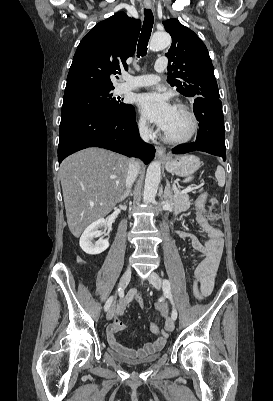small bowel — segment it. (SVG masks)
Here are the masks:
<instances>
[{
    "mask_svg": "<svg viewBox=\"0 0 273 401\" xmlns=\"http://www.w3.org/2000/svg\"><path fill=\"white\" fill-rule=\"evenodd\" d=\"M198 224H201L203 230L206 231L207 236L203 240H198L195 236L191 234H185V237L190 242L191 247L202 255V260L198 264L195 272H200L201 276L204 277V282L199 283L200 287V298H205L209 296L213 290L218 264L223 252V240L221 234L218 230L212 227L210 222V218L208 215H198L196 218ZM213 221H216V218H213ZM209 232H218L219 240L218 241H209L208 233ZM179 234H182V231H179ZM140 294L139 291H135L131 293L124 302L120 303L117 307V314L114 316L111 324L107 328V339L109 344L116 351L128 354L129 350L124 345L121 344L117 335L120 332H123L127 329V326L123 322V316L126 310V307L130 303L135 302V295ZM100 303L105 304L108 301L107 296L102 295L99 298ZM170 306L160 305L155 306V311H160L159 316L161 318H165L167 316V312L170 311ZM150 329L152 332L158 334L157 340L147 343L142 349L138 350L132 355H136L139 357H143L146 355H154L157 353L163 345H166L168 342V335L166 332H162L156 324H151Z\"/></svg>",
    "mask_w": 273,
    "mask_h": 401,
    "instance_id": "c3829d8e",
    "label": "small bowel"
}]
</instances>
